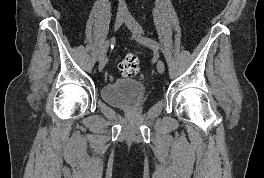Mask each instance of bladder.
<instances>
[{"instance_id":"bladder-1","label":"bladder","mask_w":264,"mask_h":178,"mask_svg":"<svg viewBox=\"0 0 264 178\" xmlns=\"http://www.w3.org/2000/svg\"><path fill=\"white\" fill-rule=\"evenodd\" d=\"M143 81L130 77L119 78L102 87V99L109 105L119 108H132L143 103L146 97Z\"/></svg>"}]
</instances>
